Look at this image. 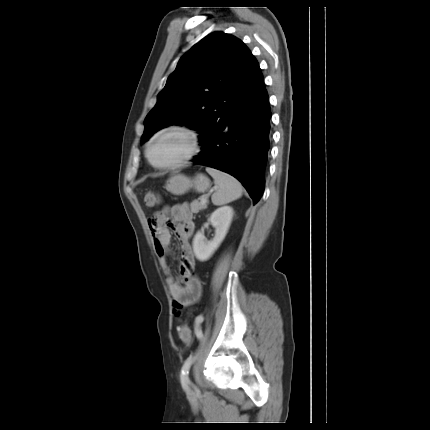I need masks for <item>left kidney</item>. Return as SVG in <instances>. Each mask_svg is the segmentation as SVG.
Here are the masks:
<instances>
[{
  "label": "left kidney",
  "instance_id": "left-kidney-1",
  "mask_svg": "<svg viewBox=\"0 0 430 430\" xmlns=\"http://www.w3.org/2000/svg\"><path fill=\"white\" fill-rule=\"evenodd\" d=\"M233 209L223 206L215 210L210 216V223L215 228V236L207 240L203 232L198 231L193 239V251L199 261L208 260L224 240L232 222Z\"/></svg>",
  "mask_w": 430,
  "mask_h": 430
}]
</instances>
